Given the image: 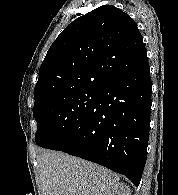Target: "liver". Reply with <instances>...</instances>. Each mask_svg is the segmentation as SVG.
I'll return each mask as SVG.
<instances>
[{
  "label": "liver",
  "mask_w": 178,
  "mask_h": 195,
  "mask_svg": "<svg viewBox=\"0 0 178 195\" xmlns=\"http://www.w3.org/2000/svg\"><path fill=\"white\" fill-rule=\"evenodd\" d=\"M38 168L42 195H103L119 181L112 171L62 152L43 151Z\"/></svg>",
  "instance_id": "1"
}]
</instances>
